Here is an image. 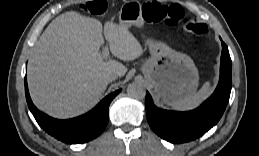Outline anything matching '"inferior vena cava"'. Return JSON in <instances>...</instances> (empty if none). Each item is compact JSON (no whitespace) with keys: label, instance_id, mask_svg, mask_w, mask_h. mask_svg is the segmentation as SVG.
I'll list each match as a JSON object with an SVG mask.
<instances>
[{"label":"inferior vena cava","instance_id":"602c4592","mask_svg":"<svg viewBox=\"0 0 259 156\" xmlns=\"http://www.w3.org/2000/svg\"><path fill=\"white\" fill-rule=\"evenodd\" d=\"M119 74L116 73V72H112L110 74H108V80L111 82V81H114L118 78Z\"/></svg>","mask_w":259,"mask_h":156}]
</instances>
